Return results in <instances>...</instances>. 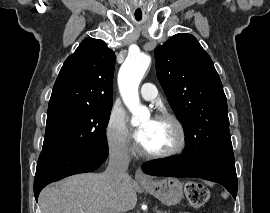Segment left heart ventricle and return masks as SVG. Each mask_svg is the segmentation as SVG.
<instances>
[{
    "label": "left heart ventricle",
    "instance_id": "b2bd125f",
    "mask_svg": "<svg viewBox=\"0 0 270 213\" xmlns=\"http://www.w3.org/2000/svg\"><path fill=\"white\" fill-rule=\"evenodd\" d=\"M150 124L149 132L142 147L149 152H163L174 147L179 136L174 125L166 120H146L143 126Z\"/></svg>",
    "mask_w": 270,
    "mask_h": 213
}]
</instances>
